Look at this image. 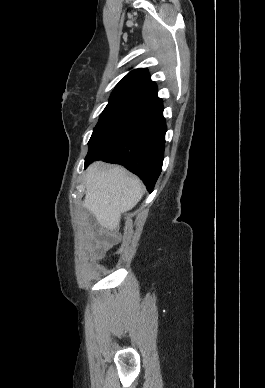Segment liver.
<instances>
[{"instance_id": "6515ba94", "label": "liver", "mask_w": 265, "mask_h": 388, "mask_svg": "<svg viewBox=\"0 0 265 388\" xmlns=\"http://www.w3.org/2000/svg\"><path fill=\"white\" fill-rule=\"evenodd\" d=\"M86 172L84 208L103 228L118 230L121 214L132 210L145 192L141 180L121 166H105L102 162L91 164Z\"/></svg>"}]
</instances>
